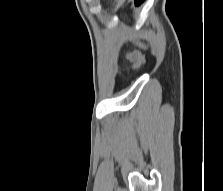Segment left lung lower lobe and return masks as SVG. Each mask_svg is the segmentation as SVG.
<instances>
[{"label":"left lung lower lobe","mask_w":223,"mask_h":191,"mask_svg":"<svg viewBox=\"0 0 223 191\" xmlns=\"http://www.w3.org/2000/svg\"><path fill=\"white\" fill-rule=\"evenodd\" d=\"M143 1H144V0H135V3H136L137 5H140Z\"/></svg>","instance_id":"0a47b994"}]
</instances>
